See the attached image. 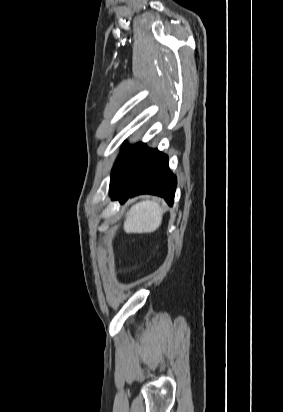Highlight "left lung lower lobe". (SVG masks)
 Here are the masks:
<instances>
[{
    "label": "left lung lower lobe",
    "mask_w": 283,
    "mask_h": 412,
    "mask_svg": "<svg viewBox=\"0 0 283 412\" xmlns=\"http://www.w3.org/2000/svg\"><path fill=\"white\" fill-rule=\"evenodd\" d=\"M176 190V177L170 171L168 157L157 149H148L130 177L120 182L111 174L109 194L113 200L124 203L129 197L153 194L163 197L172 206Z\"/></svg>",
    "instance_id": "obj_1"
}]
</instances>
